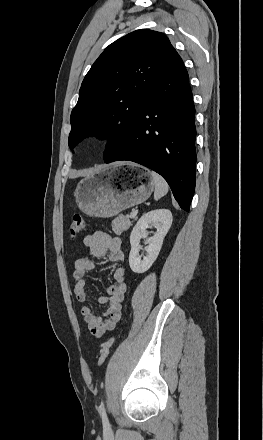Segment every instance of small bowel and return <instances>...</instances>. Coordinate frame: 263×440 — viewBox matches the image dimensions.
I'll return each mask as SVG.
<instances>
[{"instance_id": "1", "label": "small bowel", "mask_w": 263, "mask_h": 440, "mask_svg": "<svg viewBox=\"0 0 263 440\" xmlns=\"http://www.w3.org/2000/svg\"><path fill=\"white\" fill-rule=\"evenodd\" d=\"M82 243L88 249L90 257H81L75 262L73 291L78 302H83L89 297L87 275L99 268L93 258L107 256L111 263L118 265L113 273L114 284L108 287L106 295L98 299L100 304L109 305L107 311L103 315H97L92 304L83 306L80 310L90 333L100 337L113 330L121 317L122 302L127 292L124 246L120 238L112 237L103 231L85 236Z\"/></svg>"}]
</instances>
